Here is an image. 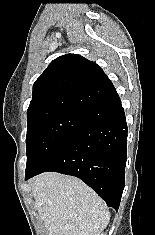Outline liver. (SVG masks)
Instances as JSON below:
<instances>
[{"label": "liver", "instance_id": "1", "mask_svg": "<svg viewBox=\"0 0 155 235\" xmlns=\"http://www.w3.org/2000/svg\"><path fill=\"white\" fill-rule=\"evenodd\" d=\"M48 235H100L110 220L103 200L78 178L48 172L32 184Z\"/></svg>", "mask_w": 155, "mask_h": 235}]
</instances>
